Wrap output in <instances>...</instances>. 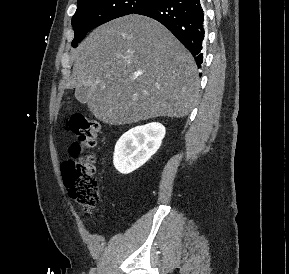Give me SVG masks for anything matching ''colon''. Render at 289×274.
<instances>
[{
    "instance_id": "obj_1",
    "label": "colon",
    "mask_w": 289,
    "mask_h": 274,
    "mask_svg": "<svg viewBox=\"0 0 289 274\" xmlns=\"http://www.w3.org/2000/svg\"><path fill=\"white\" fill-rule=\"evenodd\" d=\"M70 129L77 141L70 148L73 159L62 165V175L70 197L83 211L90 212L98 205L100 192L95 175V159L83 153L96 145L102 125L95 119L75 115L70 121Z\"/></svg>"
}]
</instances>
